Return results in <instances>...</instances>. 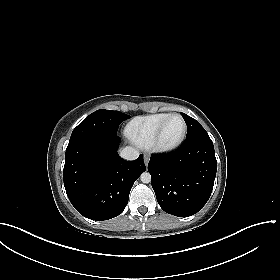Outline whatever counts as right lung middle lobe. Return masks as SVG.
<instances>
[{
  "label": "right lung middle lobe",
  "mask_w": 280,
  "mask_h": 280,
  "mask_svg": "<svg viewBox=\"0 0 280 280\" xmlns=\"http://www.w3.org/2000/svg\"><path fill=\"white\" fill-rule=\"evenodd\" d=\"M129 118L128 115L119 111L98 110L85 118L73 130L70 141L89 135H116L121 122Z\"/></svg>",
  "instance_id": "1"
}]
</instances>
